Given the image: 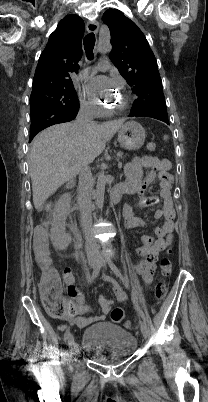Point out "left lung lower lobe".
<instances>
[{
    "mask_svg": "<svg viewBox=\"0 0 208 402\" xmlns=\"http://www.w3.org/2000/svg\"><path fill=\"white\" fill-rule=\"evenodd\" d=\"M139 116H140V115H138V114H132V113H130V115H129V117H139ZM161 121H163V122L169 124V121H168V120H161Z\"/></svg>",
    "mask_w": 208,
    "mask_h": 402,
    "instance_id": "obj_1",
    "label": "left lung lower lobe"
}]
</instances>
